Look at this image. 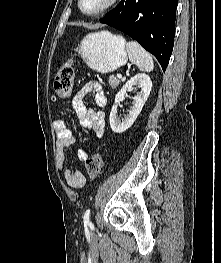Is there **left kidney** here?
Listing matches in <instances>:
<instances>
[{
    "label": "left kidney",
    "mask_w": 221,
    "mask_h": 263,
    "mask_svg": "<svg viewBox=\"0 0 221 263\" xmlns=\"http://www.w3.org/2000/svg\"><path fill=\"white\" fill-rule=\"evenodd\" d=\"M133 86L140 88V91L133 97L132 106L130 108L129 114L125 116L124 120H119L117 118V108L116 104L124 100L129 91ZM152 88V81L150 77L144 73L137 74L132 77L127 83L122 87L120 92L115 97V105L112 107L110 112V127L115 133H122L132 126L136 118L140 114L144 103L146 102L150 91Z\"/></svg>",
    "instance_id": "obj_1"
}]
</instances>
